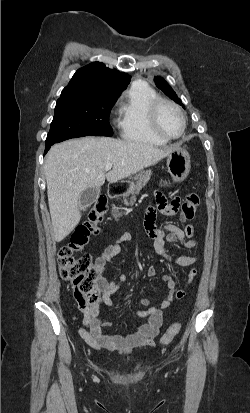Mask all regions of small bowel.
I'll list each match as a JSON object with an SVG mask.
<instances>
[{"label": "small bowel", "mask_w": 250, "mask_h": 413, "mask_svg": "<svg viewBox=\"0 0 250 413\" xmlns=\"http://www.w3.org/2000/svg\"><path fill=\"white\" fill-rule=\"evenodd\" d=\"M181 203V194H176L170 203H167L164 196L157 194L155 204L151 205L146 212L144 226L146 236L153 238L154 249L159 256L178 267H189L197 263L198 256L180 255L172 257L165 249V242L178 243L185 249L195 248L198 243L193 239L195 234L194 225L188 224L183 228L174 224H164L160 228L155 225L156 210L165 215H178V207ZM129 238L130 236L125 234L116 242L107 245L95 260V266L100 272L98 287L102 291V302L108 307H113L111 295L125 282L126 277L119 275L116 281L108 280L104 275L105 267L107 262L120 252L121 243L129 240ZM156 274L155 266L150 265L147 269V275L155 277ZM196 275L197 268L194 267L190 271L188 284L194 281ZM162 280L167 285V294L160 299L159 306L151 305L148 299H141L140 303L146 309L138 311L136 316L146 318L147 322L140 325L135 331L128 334H106L104 330L112 328L113 323L101 321L99 305L92 307L80 306L83 313L81 326L78 329L80 337L90 348L96 351L105 349L120 354H129L136 349L152 347L163 323V309L167 308L174 300L182 299L185 296V290L177 289L172 275H164Z\"/></svg>", "instance_id": "1"}]
</instances>
